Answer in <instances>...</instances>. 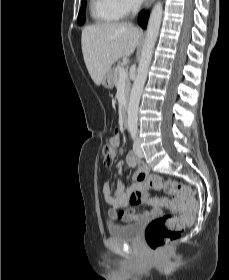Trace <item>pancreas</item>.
Here are the masks:
<instances>
[{"label": "pancreas", "instance_id": "pancreas-1", "mask_svg": "<svg viewBox=\"0 0 229 280\" xmlns=\"http://www.w3.org/2000/svg\"><path fill=\"white\" fill-rule=\"evenodd\" d=\"M123 68V66L118 63L117 66L113 69L114 70V85L117 86L118 83H119V80H120V73H119V70ZM130 86H131V83H130V80L129 78L126 79L125 81V96L128 97L129 95V91H130Z\"/></svg>", "mask_w": 229, "mask_h": 280}]
</instances>
